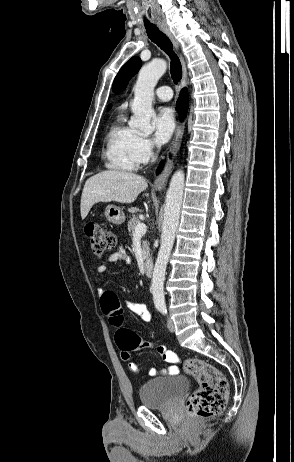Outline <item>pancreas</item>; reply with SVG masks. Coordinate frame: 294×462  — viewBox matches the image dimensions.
Listing matches in <instances>:
<instances>
[{"label":"pancreas","instance_id":"obj_1","mask_svg":"<svg viewBox=\"0 0 294 462\" xmlns=\"http://www.w3.org/2000/svg\"><path fill=\"white\" fill-rule=\"evenodd\" d=\"M139 223H140V220L135 215H133L132 217H129L128 231L130 233V236H134L135 228ZM148 245L149 244H148V242L146 240H142V251H143V258L144 259H147L150 256V249H149Z\"/></svg>","mask_w":294,"mask_h":462}]
</instances>
